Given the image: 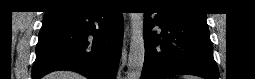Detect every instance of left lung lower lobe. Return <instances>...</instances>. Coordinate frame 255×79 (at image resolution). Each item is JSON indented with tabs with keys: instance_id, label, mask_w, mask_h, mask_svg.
<instances>
[{
	"instance_id": "left-lung-lower-lobe-1",
	"label": "left lung lower lobe",
	"mask_w": 255,
	"mask_h": 79,
	"mask_svg": "<svg viewBox=\"0 0 255 79\" xmlns=\"http://www.w3.org/2000/svg\"><path fill=\"white\" fill-rule=\"evenodd\" d=\"M144 15L145 59L141 79L190 74L218 79L206 18L161 7ZM161 27V34L153 32Z\"/></svg>"
}]
</instances>
